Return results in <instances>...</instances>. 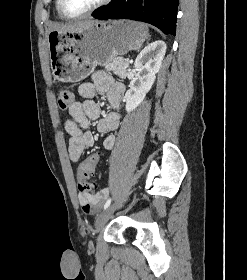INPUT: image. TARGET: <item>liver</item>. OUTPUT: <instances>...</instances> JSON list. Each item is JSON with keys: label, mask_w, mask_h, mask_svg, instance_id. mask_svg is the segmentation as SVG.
I'll list each match as a JSON object with an SVG mask.
<instances>
[{"label": "liver", "mask_w": 247, "mask_h": 280, "mask_svg": "<svg viewBox=\"0 0 247 280\" xmlns=\"http://www.w3.org/2000/svg\"><path fill=\"white\" fill-rule=\"evenodd\" d=\"M98 21L94 20H88V21H78V22H72V23H67V24H60L56 23L51 26L50 31H57L60 33H66V32H76L82 29H85Z\"/></svg>", "instance_id": "liver-1"}]
</instances>
